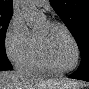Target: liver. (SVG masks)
Here are the masks:
<instances>
[{
  "instance_id": "liver-1",
  "label": "liver",
  "mask_w": 89,
  "mask_h": 89,
  "mask_svg": "<svg viewBox=\"0 0 89 89\" xmlns=\"http://www.w3.org/2000/svg\"><path fill=\"white\" fill-rule=\"evenodd\" d=\"M79 86V83L73 81L41 80L15 71L0 73L1 89H77Z\"/></svg>"
}]
</instances>
